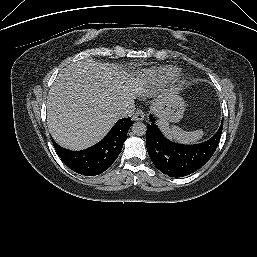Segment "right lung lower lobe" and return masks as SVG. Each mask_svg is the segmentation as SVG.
Listing matches in <instances>:
<instances>
[{
	"instance_id": "1",
	"label": "right lung lower lobe",
	"mask_w": 257,
	"mask_h": 257,
	"mask_svg": "<svg viewBox=\"0 0 257 257\" xmlns=\"http://www.w3.org/2000/svg\"><path fill=\"white\" fill-rule=\"evenodd\" d=\"M131 124L130 118L120 119L104 139L81 151L67 150L59 146L53 139L52 141L61 160L74 172L86 176L99 175L117 159L123 143L127 139V132Z\"/></svg>"
}]
</instances>
